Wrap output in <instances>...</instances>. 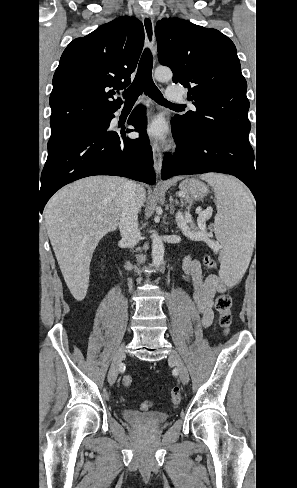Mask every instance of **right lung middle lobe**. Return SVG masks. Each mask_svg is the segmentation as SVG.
<instances>
[{
	"instance_id": "right-lung-middle-lobe-1",
	"label": "right lung middle lobe",
	"mask_w": 297,
	"mask_h": 488,
	"mask_svg": "<svg viewBox=\"0 0 297 488\" xmlns=\"http://www.w3.org/2000/svg\"><path fill=\"white\" fill-rule=\"evenodd\" d=\"M104 121H105V118L104 119L93 120V121H88V122H84V123L78 124L76 126H73V127L67 128V129H64V130L59 131V132L51 133V136H50V139H49V142H48V149H50L59 140L67 137L68 135H70L72 133H75V132H77L79 130H83V129H86V128H89V127L98 126V125L102 124Z\"/></svg>"
}]
</instances>
